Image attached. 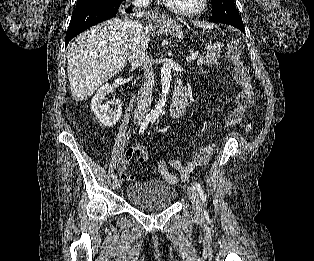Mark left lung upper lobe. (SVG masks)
Here are the masks:
<instances>
[{
	"mask_svg": "<svg viewBox=\"0 0 314 261\" xmlns=\"http://www.w3.org/2000/svg\"><path fill=\"white\" fill-rule=\"evenodd\" d=\"M212 17L211 22L224 24H242V20L234 5V0H211Z\"/></svg>",
	"mask_w": 314,
	"mask_h": 261,
	"instance_id": "5c2ea615",
	"label": "left lung upper lobe"
}]
</instances>
